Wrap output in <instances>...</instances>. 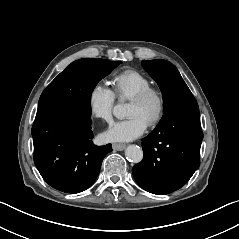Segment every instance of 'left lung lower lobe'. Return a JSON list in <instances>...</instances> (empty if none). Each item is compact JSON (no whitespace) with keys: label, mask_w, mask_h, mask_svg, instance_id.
<instances>
[{"label":"left lung lower lobe","mask_w":239,"mask_h":239,"mask_svg":"<svg viewBox=\"0 0 239 239\" xmlns=\"http://www.w3.org/2000/svg\"><path fill=\"white\" fill-rule=\"evenodd\" d=\"M202 139L197 103L172 110L142 139L144 157L132 169L138 185L157 195L183 187L200 165Z\"/></svg>","instance_id":"left-lung-lower-lobe-1"}]
</instances>
